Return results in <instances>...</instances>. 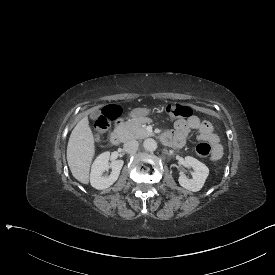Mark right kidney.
Returning <instances> with one entry per match:
<instances>
[{"label": "right kidney", "instance_id": "1", "mask_svg": "<svg viewBox=\"0 0 275 275\" xmlns=\"http://www.w3.org/2000/svg\"><path fill=\"white\" fill-rule=\"evenodd\" d=\"M110 152L100 154L94 161L90 174V183L92 187L103 190L110 187L119 177L123 166V160H114L109 164ZM112 169L109 176H103V173Z\"/></svg>", "mask_w": 275, "mask_h": 275}]
</instances>
